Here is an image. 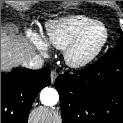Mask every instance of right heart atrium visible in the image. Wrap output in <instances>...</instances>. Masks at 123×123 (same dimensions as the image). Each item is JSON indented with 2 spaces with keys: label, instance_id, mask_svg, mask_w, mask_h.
<instances>
[{
  "label": "right heart atrium",
  "instance_id": "1",
  "mask_svg": "<svg viewBox=\"0 0 123 123\" xmlns=\"http://www.w3.org/2000/svg\"><path fill=\"white\" fill-rule=\"evenodd\" d=\"M27 38L36 47L38 51L43 54H47L49 46L46 43L45 39L38 32L29 30L27 32Z\"/></svg>",
  "mask_w": 123,
  "mask_h": 123
}]
</instances>
